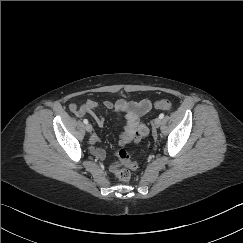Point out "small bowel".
<instances>
[{
  "mask_svg": "<svg viewBox=\"0 0 243 243\" xmlns=\"http://www.w3.org/2000/svg\"><path fill=\"white\" fill-rule=\"evenodd\" d=\"M99 105L93 100H87L82 103L76 114L81 117L85 114L94 115L97 124L102 127L104 125V117L101 114H95ZM102 109L105 113H116L123 117L124 125L119 134L118 146L125 148L129 143H138L145 136V127L142 124L140 118L148 113L152 108V103L148 99H142L140 101H126L119 99L117 101H105L102 104ZM99 138L96 135L90 137L91 153L98 159L105 158V150L95 145L98 143ZM117 169L115 164L109 165V172L114 173Z\"/></svg>",
  "mask_w": 243,
  "mask_h": 243,
  "instance_id": "obj_1",
  "label": "small bowel"
}]
</instances>
